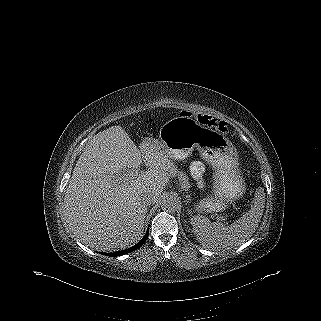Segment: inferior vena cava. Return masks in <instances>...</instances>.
<instances>
[{
  "label": "inferior vena cava",
  "mask_w": 321,
  "mask_h": 321,
  "mask_svg": "<svg viewBox=\"0 0 321 321\" xmlns=\"http://www.w3.org/2000/svg\"><path fill=\"white\" fill-rule=\"evenodd\" d=\"M141 202L145 206H150L152 203L155 202V197L151 193L146 192L145 194L142 195Z\"/></svg>",
  "instance_id": "602c4592"
}]
</instances>
